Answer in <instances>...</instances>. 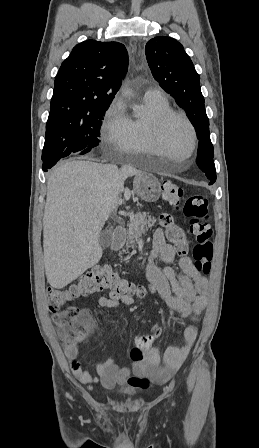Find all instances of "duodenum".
Returning <instances> with one entry per match:
<instances>
[{
    "label": "duodenum",
    "instance_id": "410a0bca",
    "mask_svg": "<svg viewBox=\"0 0 259 448\" xmlns=\"http://www.w3.org/2000/svg\"><path fill=\"white\" fill-rule=\"evenodd\" d=\"M125 238V229L123 227H117L112 235L111 248L118 250L123 246Z\"/></svg>",
    "mask_w": 259,
    "mask_h": 448
}]
</instances>
